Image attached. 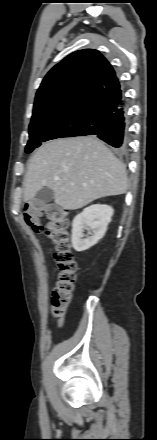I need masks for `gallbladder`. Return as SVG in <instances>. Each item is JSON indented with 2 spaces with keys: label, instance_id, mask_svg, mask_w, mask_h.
Returning <instances> with one entry per match:
<instances>
[{
  "label": "gallbladder",
  "instance_id": "gallbladder-1",
  "mask_svg": "<svg viewBox=\"0 0 157 440\" xmlns=\"http://www.w3.org/2000/svg\"><path fill=\"white\" fill-rule=\"evenodd\" d=\"M36 199L42 204L50 203L54 199V192L50 188L44 187L37 192Z\"/></svg>",
  "mask_w": 157,
  "mask_h": 440
}]
</instances>
